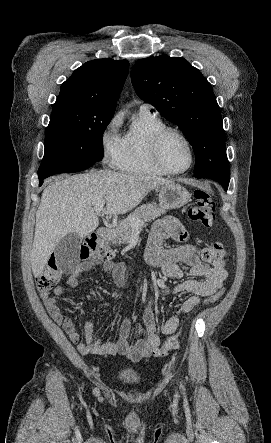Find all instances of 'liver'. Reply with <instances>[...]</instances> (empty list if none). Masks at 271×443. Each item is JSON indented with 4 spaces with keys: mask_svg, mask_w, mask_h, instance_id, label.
I'll use <instances>...</instances> for the list:
<instances>
[{
    "mask_svg": "<svg viewBox=\"0 0 271 443\" xmlns=\"http://www.w3.org/2000/svg\"><path fill=\"white\" fill-rule=\"evenodd\" d=\"M163 184H169L168 180L152 176H127L110 170L60 176L48 184L36 212L31 249L34 277L41 275L62 237L73 231L79 237H86L98 227L94 204L105 200L103 214H126L134 210L149 192Z\"/></svg>",
    "mask_w": 271,
    "mask_h": 443,
    "instance_id": "obj_1",
    "label": "liver"
}]
</instances>
